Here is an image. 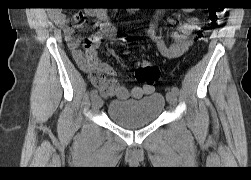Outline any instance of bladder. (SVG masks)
Returning a JSON list of instances; mask_svg holds the SVG:
<instances>
[{"instance_id": "bladder-1", "label": "bladder", "mask_w": 251, "mask_h": 180, "mask_svg": "<svg viewBox=\"0 0 251 180\" xmlns=\"http://www.w3.org/2000/svg\"><path fill=\"white\" fill-rule=\"evenodd\" d=\"M165 108V97L158 92L139 100H113L107 114L115 124L124 128H139L155 122Z\"/></svg>"}]
</instances>
